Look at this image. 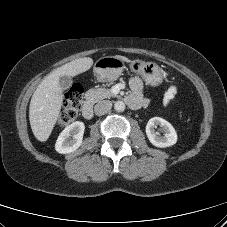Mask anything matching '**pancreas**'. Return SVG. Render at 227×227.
Listing matches in <instances>:
<instances>
[{
  "label": "pancreas",
  "instance_id": "cf45deb5",
  "mask_svg": "<svg viewBox=\"0 0 227 227\" xmlns=\"http://www.w3.org/2000/svg\"><path fill=\"white\" fill-rule=\"evenodd\" d=\"M106 86H110V84H107L104 87L89 89L85 93L86 100L88 102H90L91 104H94V103L101 101L105 98L115 97L116 95L113 94L110 89L106 88Z\"/></svg>",
  "mask_w": 227,
  "mask_h": 227
}]
</instances>
